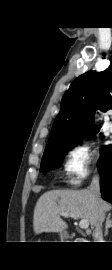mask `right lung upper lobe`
<instances>
[{"mask_svg":"<svg viewBox=\"0 0 112 270\" xmlns=\"http://www.w3.org/2000/svg\"><path fill=\"white\" fill-rule=\"evenodd\" d=\"M96 109H112V57L105 71H88L72 82L62 98L47 145L72 141L93 130Z\"/></svg>","mask_w":112,"mask_h":270,"instance_id":"cb5924a9","label":"right lung upper lobe"}]
</instances>
